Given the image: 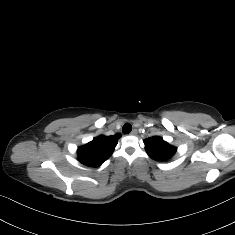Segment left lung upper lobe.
Masks as SVG:
<instances>
[{
    "label": "left lung upper lobe",
    "instance_id": "left-lung-upper-lobe-1",
    "mask_svg": "<svg viewBox=\"0 0 235 235\" xmlns=\"http://www.w3.org/2000/svg\"><path fill=\"white\" fill-rule=\"evenodd\" d=\"M144 144L148 155L156 161L169 160L176 152V147L168 144L158 136L145 139Z\"/></svg>",
    "mask_w": 235,
    "mask_h": 235
}]
</instances>
